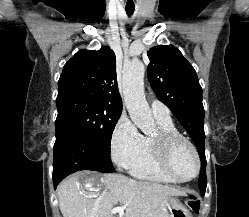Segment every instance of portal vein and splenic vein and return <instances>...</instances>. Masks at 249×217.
I'll use <instances>...</instances> for the list:
<instances>
[{
    "label": "portal vein and splenic vein",
    "instance_id": "obj_1",
    "mask_svg": "<svg viewBox=\"0 0 249 217\" xmlns=\"http://www.w3.org/2000/svg\"><path fill=\"white\" fill-rule=\"evenodd\" d=\"M124 212V208L123 207H116L111 211V214H115V213H119L120 217H122Z\"/></svg>",
    "mask_w": 249,
    "mask_h": 217
}]
</instances>
